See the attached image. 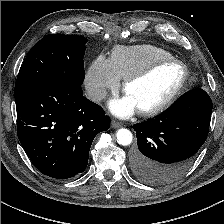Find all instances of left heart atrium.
Instances as JSON below:
<instances>
[{
    "label": "left heart atrium",
    "mask_w": 224,
    "mask_h": 224,
    "mask_svg": "<svg viewBox=\"0 0 224 224\" xmlns=\"http://www.w3.org/2000/svg\"><path fill=\"white\" fill-rule=\"evenodd\" d=\"M109 108L114 115L121 118L129 117L137 111L135 103L127 95L111 101Z\"/></svg>",
    "instance_id": "39dd6f15"
}]
</instances>
